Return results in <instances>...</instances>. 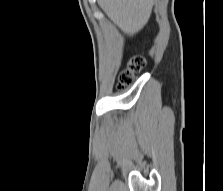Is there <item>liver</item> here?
I'll return each instance as SVG.
<instances>
[{"label":"liver","instance_id":"liver-1","mask_svg":"<svg viewBox=\"0 0 223 191\" xmlns=\"http://www.w3.org/2000/svg\"><path fill=\"white\" fill-rule=\"evenodd\" d=\"M98 4L123 32L134 35L148 22L153 0H98Z\"/></svg>","mask_w":223,"mask_h":191}]
</instances>
